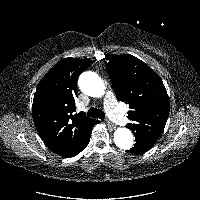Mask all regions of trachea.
<instances>
[{
  "label": "trachea",
  "mask_w": 200,
  "mask_h": 200,
  "mask_svg": "<svg viewBox=\"0 0 200 200\" xmlns=\"http://www.w3.org/2000/svg\"><path fill=\"white\" fill-rule=\"evenodd\" d=\"M88 117L98 118L103 120L105 118V114L102 110L96 109L94 107H91L87 112Z\"/></svg>",
  "instance_id": "3493384b"
}]
</instances>
